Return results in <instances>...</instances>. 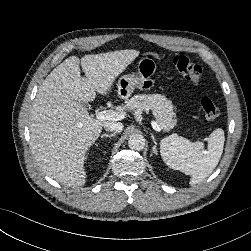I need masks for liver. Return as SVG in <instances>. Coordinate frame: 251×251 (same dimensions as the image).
I'll return each mask as SVG.
<instances>
[{"mask_svg":"<svg viewBox=\"0 0 251 251\" xmlns=\"http://www.w3.org/2000/svg\"><path fill=\"white\" fill-rule=\"evenodd\" d=\"M121 50L71 56L39 87L30 118L31 150L43 172L59 183L79 187L86 182V153L102 131L81 103L107 96L112 84L139 55ZM81 67L86 77H81Z\"/></svg>","mask_w":251,"mask_h":251,"instance_id":"1","label":"liver"}]
</instances>
